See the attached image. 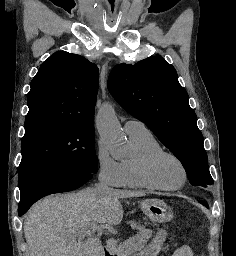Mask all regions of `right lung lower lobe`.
I'll use <instances>...</instances> for the list:
<instances>
[{"mask_svg": "<svg viewBox=\"0 0 236 256\" xmlns=\"http://www.w3.org/2000/svg\"><path fill=\"white\" fill-rule=\"evenodd\" d=\"M91 178L92 176L82 171H69L30 181L20 188L19 216L25 214L40 198L53 193L72 191Z\"/></svg>", "mask_w": 236, "mask_h": 256, "instance_id": "98d812e1", "label": "right lung lower lobe"}]
</instances>
